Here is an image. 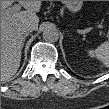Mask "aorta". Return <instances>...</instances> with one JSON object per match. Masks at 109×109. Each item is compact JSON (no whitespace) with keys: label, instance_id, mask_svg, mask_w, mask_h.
I'll use <instances>...</instances> for the list:
<instances>
[{"label":"aorta","instance_id":"obj_1","mask_svg":"<svg viewBox=\"0 0 109 109\" xmlns=\"http://www.w3.org/2000/svg\"><path fill=\"white\" fill-rule=\"evenodd\" d=\"M42 35L44 40L49 42H56L59 38V33L53 24H47L43 28Z\"/></svg>","mask_w":109,"mask_h":109}]
</instances>
